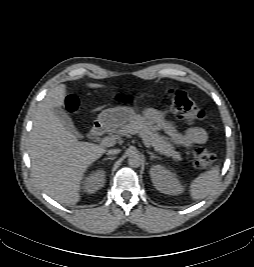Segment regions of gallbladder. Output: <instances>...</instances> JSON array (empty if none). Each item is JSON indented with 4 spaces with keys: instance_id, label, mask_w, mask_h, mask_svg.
<instances>
[{
    "instance_id": "obj_1",
    "label": "gallbladder",
    "mask_w": 254,
    "mask_h": 267,
    "mask_svg": "<svg viewBox=\"0 0 254 267\" xmlns=\"http://www.w3.org/2000/svg\"><path fill=\"white\" fill-rule=\"evenodd\" d=\"M54 114L58 117V119L61 121V123L63 124V126L70 131L71 133H73L75 136L77 137H81V135L79 134V132L76 130L72 119L68 116V114L66 113V111L61 108V107H56L53 109Z\"/></svg>"
}]
</instances>
